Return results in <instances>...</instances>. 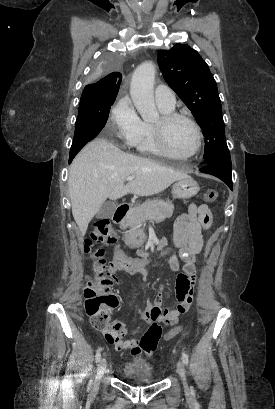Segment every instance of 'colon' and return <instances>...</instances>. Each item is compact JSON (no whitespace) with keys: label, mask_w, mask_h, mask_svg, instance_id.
I'll return each mask as SVG.
<instances>
[{"label":"colon","mask_w":275,"mask_h":409,"mask_svg":"<svg viewBox=\"0 0 275 409\" xmlns=\"http://www.w3.org/2000/svg\"><path fill=\"white\" fill-rule=\"evenodd\" d=\"M218 198L215 190H206L203 200L207 204L214 203ZM115 236L108 221L99 220L84 240L83 250L89 252L93 248L105 250L115 246ZM134 260L130 257L112 256L109 266L107 261L98 257L93 261L92 274L88 275L84 287V310L90 318L94 330H105L107 325H113L110 312L118 305V298L112 292V287L118 282L114 276L116 269L126 270L127 273H138L142 265L138 263L135 268ZM116 268V269H115ZM181 326L172 327L165 339H172L181 332Z\"/></svg>","instance_id":"colon-1"}]
</instances>
